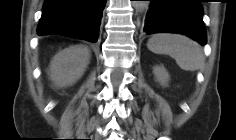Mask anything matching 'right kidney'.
<instances>
[{"instance_id": "ca27d5eb", "label": "right kidney", "mask_w": 236, "mask_h": 140, "mask_svg": "<svg viewBox=\"0 0 236 140\" xmlns=\"http://www.w3.org/2000/svg\"><path fill=\"white\" fill-rule=\"evenodd\" d=\"M89 61L90 50L83 45H73L58 52L49 68L54 86L66 87L76 83L84 74Z\"/></svg>"}]
</instances>
